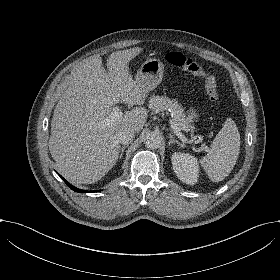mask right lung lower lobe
I'll return each mask as SVG.
<instances>
[{"mask_svg":"<svg viewBox=\"0 0 280 280\" xmlns=\"http://www.w3.org/2000/svg\"><path fill=\"white\" fill-rule=\"evenodd\" d=\"M64 182L68 185L69 188H71L72 190H74L75 192H80V193H83V192H92V191H85V190H81V189H78L74 186H72L69 182H67L63 177H61Z\"/></svg>","mask_w":280,"mask_h":280,"instance_id":"98d812e1","label":"right lung lower lobe"}]
</instances>
